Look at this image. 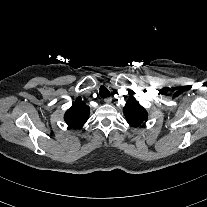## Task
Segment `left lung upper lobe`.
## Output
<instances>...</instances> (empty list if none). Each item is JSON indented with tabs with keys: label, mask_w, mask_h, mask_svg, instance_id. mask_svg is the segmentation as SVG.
<instances>
[{
	"label": "left lung upper lobe",
	"mask_w": 207,
	"mask_h": 207,
	"mask_svg": "<svg viewBox=\"0 0 207 207\" xmlns=\"http://www.w3.org/2000/svg\"><path fill=\"white\" fill-rule=\"evenodd\" d=\"M123 112L127 122L134 127L139 126L148 118L147 111L136 101L133 96L128 98L126 105L123 108Z\"/></svg>",
	"instance_id": "1"
}]
</instances>
